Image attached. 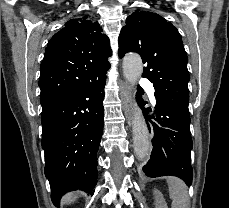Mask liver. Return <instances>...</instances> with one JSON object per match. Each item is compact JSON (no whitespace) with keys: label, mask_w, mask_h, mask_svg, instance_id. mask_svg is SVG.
<instances>
[{"label":"liver","mask_w":229,"mask_h":208,"mask_svg":"<svg viewBox=\"0 0 229 208\" xmlns=\"http://www.w3.org/2000/svg\"><path fill=\"white\" fill-rule=\"evenodd\" d=\"M76 198L77 194H67V196L62 198V204H72V202H75Z\"/></svg>","instance_id":"1"}]
</instances>
